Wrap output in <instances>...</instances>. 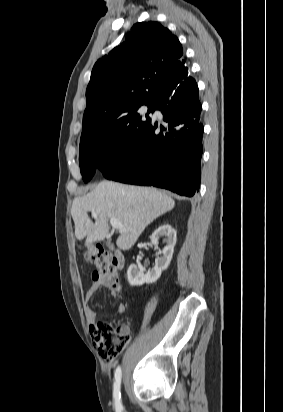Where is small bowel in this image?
<instances>
[{
  "mask_svg": "<svg viewBox=\"0 0 283 412\" xmlns=\"http://www.w3.org/2000/svg\"><path fill=\"white\" fill-rule=\"evenodd\" d=\"M104 286L112 289V291H111L112 296L116 295L115 291L113 290V287L111 286V284L109 282H107L104 279H97V278H94V277H93V282H92L91 286L89 287V289L87 290V292L85 294L83 307H84L85 318H86V321H87V324H88L89 328L92 327V325L96 322V318H97L96 312L90 306V301L93 298V296L95 295V293L100 288H102ZM115 311L118 314L124 313L125 304L124 303H119L117 305Z\"/></svg>",
  "mask_w": 283,
  "mask_h": 412,
  "instance_id": "c3829d8e",
  "label": "small bowel"
}]
</instances>
